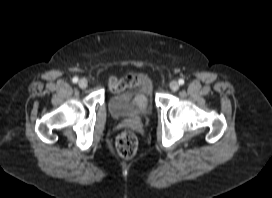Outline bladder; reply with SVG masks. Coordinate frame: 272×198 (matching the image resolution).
I'll return each instance as SVG.
<instances>
[{"label":"bladder","mask_w":272,"mask_h":198,"mask_svg":"<svg viewBox=\"0 0 272 198\" xmlns=\"http://www.w3.org/2000/svg\"><path fill=\"white\" fill-rule=\"evenodd\" d=\"M152 88L144 86L134 93L120 92L108 99V110L116 119L146 118L151 110Z\"/></svg>","instance_id":"bladder-1"}]
</instances>
